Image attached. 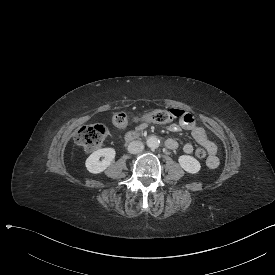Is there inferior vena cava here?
<instances>
[{
  "mask_svg": "<svg viewBox=\"0 0 275 275\" xmlns=\"http://www.w3.org/2000/svg\"><path fill=\"white\" fill-rule=\"evenodd\" d=\"M144 149V145L141 141H133L128 145V152L131 154H137Z\"/></svg>",
  "mask_w": 275,
  "mask_h": 275,
  "instance_id": "inferior-vena-cava-1",
  "label": "inferior vena cava"
}]
</instances>
